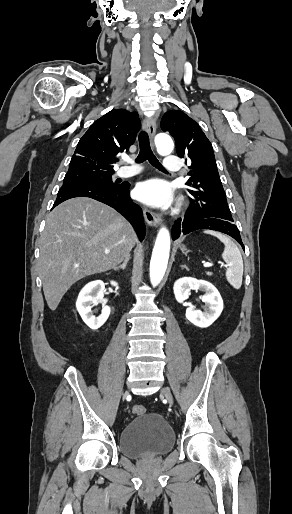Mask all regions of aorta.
I'll use <instances>...</instances> for the list:
<instances>
[{
    "label": "aorta",
    "instance_id": "obj_1",
    "mask_svg": "<svg viewBox=\"0 0 292 514\" xmlns=\"http://www.w3.org/2000/svg\"><path fill=\"white\" fill-rule=\"evenodd\" d=\"M160 156H169L174 150L173 140L167 134H158L155 140ZM170 252V234L166 228H161L156 238L150 262V280L153 286L160 284L167 268Z\"/></svg>",
    "mask_w": 292,
    "mask_h": 514
}]
</instances>
